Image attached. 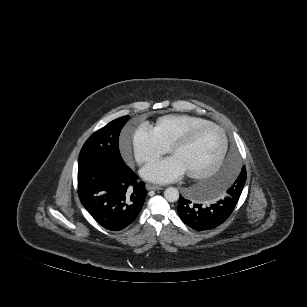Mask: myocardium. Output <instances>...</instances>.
Here are the masks:
<instances>
[{"label":"myocardium","instance_id":"f54148a6","mask_svg":"<svg viewBox=\"0 0 307 307\" xmlns=\"http://www.w3.org/2000/svg\"><path fill=\"white\" fill-rule=\"evenodd\" d=\"M208 127L215 128L220 133L222 137V148L218 158L216 159L214 165L211 168L200 172L187 173V176L193 179H202L209 177L213 175L222 165L229 148V139L224 129L220 125L210 121L204 124L196 125L191 127L186 133H184L182 136H180L174 142H172V144L169 147L170 154H173V152L178 148L188 145L201 130Z\"/></svg>","mask_w":307,"mask_h":307}]
</instances>
